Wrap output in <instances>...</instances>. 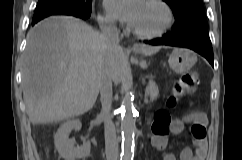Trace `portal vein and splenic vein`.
Listing matches in <instances>:
<instances>
[{
	"label": "portal vein and splenic vein",
	"mask_w": 242,
	"mask_h": 160,
	"mask_svg": "<svg viewBox=\"0 0 242 160\" xmlns=\"http://www.w3.org/2000/svg\"><path fill=\"white\" fill-rule=\"evenodd\" d=\"M146 97H147V93H145V102H147V98Z\"/></svg>",
	"instance_id": "1"
}]
</instances>
